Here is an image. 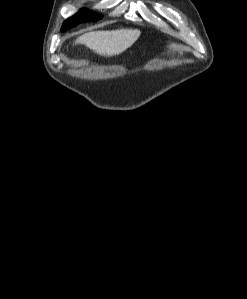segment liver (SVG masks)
Instances as JSON below:
<instances>
[{
	"label": "liver",
	"instance_id": "obj_1",
	"mask_svg": "<svg viewBox=\"0 0 247 299\" xmlns=\"http://www.w3.org/2000/svg\"><path fill=\"white\" fill-rule=\"evenodd\" d=\"M137 29H118L112 31H91L75 40V44H84L95 53L111 57L124 52L139 38Z\"/></svg>",
	"mask_w": 247,
	"mask_h": 299
}]
</instances>
